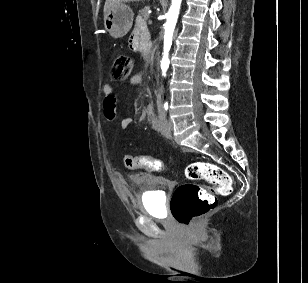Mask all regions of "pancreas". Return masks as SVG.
Returning a JSON list of instances; mask_svg holds the SVG:
<instances>
[{"label": "pancreas", "mask_w": 308, "mask_h": 283, "mask_svg": "<svg viewBox=\"0 0 308 283\" xmlns=\"http://www.w3.org/2000/svg\"><path fill=\"white\" fill-rule=\"evenodd\" d=\"M148 11H149V7L146 6V7H144L143 9H141V10L139 11V15L142 16L145 20H147V19L149 18V13H148Z\"/></svg>", "instance_id": "1"}]
</instances>
